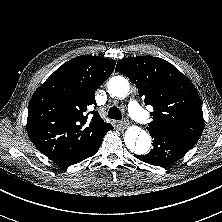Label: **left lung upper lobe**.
I'll use <instances>...</instances> for the list:
<instances>
[{"mask_svg":"<svg viewBox=\"0 0 222 222\" xmlns=\"http://www.w3.org/2000/svg\"><path fill=\"white\" fill-rule=\"evenodd\" d=\"M116 72L130 78L153 107L148 130L166 129L200 137L204 128L202 103L191 81L175 66L158 57H128Z\"/></svg>","mask_w":222,"mask_h":222,"instance_id":"obj_1","label":"left lung upper lobe"}]
</instances>
